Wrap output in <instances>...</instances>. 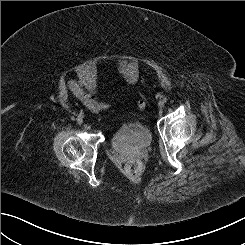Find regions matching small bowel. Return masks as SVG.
<instances>
[{
  "instance_id": "obj_1",
  "label": "small bowel",
  "mask_w": 245,
  "mask_h": 245,
  "mask_svg": "<svg viewBox=\"0 0 245 245\" xmlns=\"http://www.w3.org/2000/svg\"><path fill=\"white\" fill-rule=\"evenodd\" d=\"M68 86L73 95L90 111L99 114L110 107L108 103L99 101L93 92L85 91L76 81H69Z\"/></svg>"
}]
</instances>
